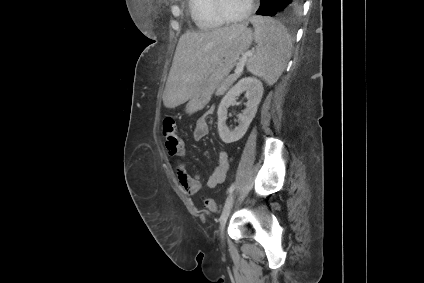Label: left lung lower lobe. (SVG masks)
Segmentation results:
<instances>
[{
  "mask_svg": "<svg viewBox=\"0 0 424 283\" xmlns=\"http://www.w3.org/2000/svg\"><path fill=\"white\" fill-rule=\"evenodd\" d=\"M256 14L263 16L292 15L301 10L304 0H260Z\"/></svg>",
  "mask_w": 424,
  "mask_h": 283,
  "instance_id": "0a47b994",
  "label": "left lung lower lobe"
}]
</instances>
